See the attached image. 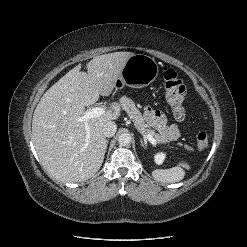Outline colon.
<instances>
[{"mask_svg": "<svg viewBox=\"0 0 247 247\" xmlns=\"http://www.w3.org/2000/svg\"><path fill=\"white\" fill-rule=\"evenodd\" d=\"M163 76L166 100L173 109L174 117L181 121L186 115V85L180 75L173 69H165ZM195 145L199 151L208 147L209 140L205 132L197 133Z\"/></svg>", "mask_w": 247, "mask_h": 247, "instance_id": "colon-1", "label": "colon"}]
</instances>
